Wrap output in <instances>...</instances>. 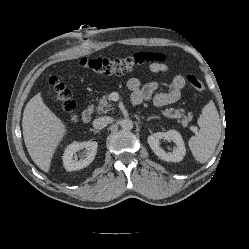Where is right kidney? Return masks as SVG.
<instances>
[{
  "instance_id": "1",
  "label": "right kidney",
  "mask_w": 249,
  "mask_h": 249,
  "mask_svg": "<svg viewBox=\"0 0 249 249\" xmlns=\"http://www.w3.org/2000/svg\"><path fill=\"white\" fill-rule=\"evenodd\" d=\"M98 144L95 141L73 142L67 146L63 154V165L67 171L80 170L88 166L95 158ZM86 153L80 160L76 158V153L80 150Z\"/></svg>"
}]
</instances>
